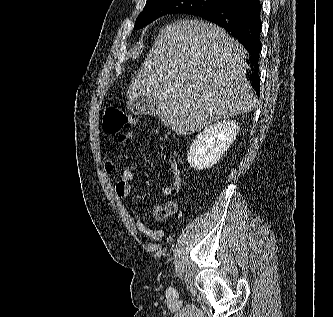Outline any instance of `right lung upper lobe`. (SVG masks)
Here are the masks:
<instances>
[{"label":"right lung upper lobe","mask_w":333,"mask_h":317,"mask_svg":"<svg viewBox=\"0 0 333 317\" xmlns=\"http://www.w3.org/2000/svg\"><path fill=\"white\" fill-rule=\"evenodd\" d=\"M226 1L230 2V1H235V0H226Z\"/></svg>","instance_id":"right-lung-upper-lobe-1"}]
</instances>
